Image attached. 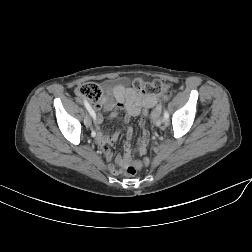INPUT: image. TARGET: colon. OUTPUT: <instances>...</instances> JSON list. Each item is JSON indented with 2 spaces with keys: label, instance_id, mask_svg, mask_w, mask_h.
<instances>
[{
  "label": "colon",
  "instance_id": "1",
  "mask_svg": "<svg viewBox=\"0 0 252 252\" xmlns=\"http://www.w3.org/2000/svg\"><path fill=\"white\" fill-rule=\"evenodd\" d=\"M134 88L143 94L147 95H157L167 92L169 85L162 80H155L152 83H145L141 79H135L133 82ZM77 94L84 100L96 103L101 100L102 91L100 87L95 83H84L77 88ZM147 115V114H146ZM139 164H130L125 168V175L127 177H133L139 170Z\"/></svg>",
  "mask_w": 252,
  "mask_h": 252
}]
</instances>
